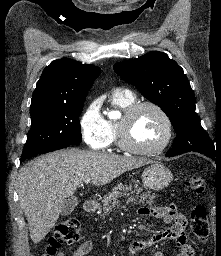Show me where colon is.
<instances>
[{"label":"colon","instance_id":"5ec220e1","mask_svg":"<svg viewBox=\"0 0 221 256\" xmlns=\"http://www.w3.org/2000/svg\"><path fill=\"white\" fill-rule=\"evenodd\" d=\"M186 189L196 195L203 193L205 180L199 175H193L186 181ZM191 230L194 237L201 243H205L209 237V223L207 211L204 205L195 204L191 209ZM80 238V223L75 218H69L58 224L50 236L43 256L56 255L63 245H72Z\"/></svg>","mask_w":221,"mask_h":256}]
</instances>
